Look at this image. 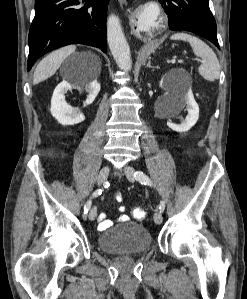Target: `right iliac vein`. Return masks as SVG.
<instances>
[{
    "label": "right iliac vein",
    "mask_w": 247,
    "mask_h": 299,
    "mask_svg": "<svg viewBox=\"0 0 247 299\" xmlns=\"http://www.w3.org/2000/svg\"><path fill=\"white\" fill-rule=\"evenodd\" d=\"M109 172H110V167L109 166H105L101 169L100 173H99V176H98V184L99 185H102L105 183V181L107 180L108 178V175H109ZM96 215H97V209L96 207H93L91 210H90V213H89V219L91 221H93L95 218H96Z\"/></svg>",
    "instance_id": "1"
}]
</instances>
